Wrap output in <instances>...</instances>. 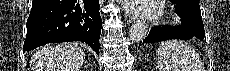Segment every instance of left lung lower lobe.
I'll use <instances>...</instances> for the list:
<instances>
[{
    "instance_id": "left-lung-lower-lobe-1",
    "label": "left lung lower lobe",
    "mask_w": 230,
    "mask_h": 71,
    "mask_svg": "<svg viewBox=\"0 0 230 71\" xmlns=\"http://www.w3.org/2000/svg\"><path fill=\"white\" fill-rule=\"evenodd\" d=\"M173 4L175 5L176 13L181 18L182 24L174 28L171 26L153 27L149 35L143 40V44L169 39H204L205 32L199 0H177Z\"/></svg>"
}]
</instances>
